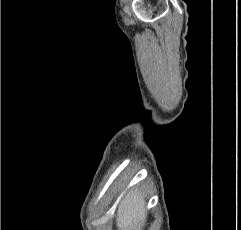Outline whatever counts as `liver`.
<instances>
[{"instance_id": "liver-1", "label": "liver", "mask_w": 241, "mask_h": 230, "mask_svg": "<svg viewBox=\"0 0 241 230\" xmlns=\"http://www.w3.org/2000/svg\"><path fill=\"white\" fill-rule=\"evenodd\" d=\"M145 200L136 190H130L121 200L117 215L116 226L118 230H142L146 222Z\"/></svg>"}]
</instances>
